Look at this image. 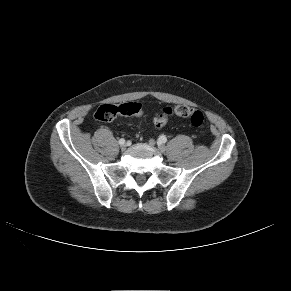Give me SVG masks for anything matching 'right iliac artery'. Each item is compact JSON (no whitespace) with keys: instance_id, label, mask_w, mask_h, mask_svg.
Returning <instances> with one entry per match:
<instances>
[{"instance_id":"1","label":"right iliac artery","mask_w":291,"mask_h":291,"mask_svg":"<svg viewBox=\"0 0 291 291\" xmlns=\"http://www.w3.org/2000/svg\"><path fill=\"white\" fill-rule=\"evenodd\" d=\"M125 143V140L123 139V138H121L120 140H119V144L121 145V144H124Z\"/></svg>"}]
</instances>
